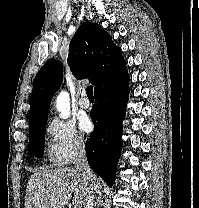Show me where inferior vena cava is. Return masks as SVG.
Segmentation results:
<instances>
[{
  "label": "inferior vena cava",
  "mask_w": 199,
  "mask_h": 208,
  "mask_svg": "<svg viewBox=\"0 0 199 208\" xmlns=\"http://www.w3.org/2000/svg\"><path fill=\"white\" fill-rule=\"evenodd\" d=\"M74 165L75 169L81 172L82 175L89 180L91 185V196L84 208H98L101 201L100 192L95 184V175L88 165L85 148L82 144L77 146Z\"/></svg>",
  "instance_id": "inferior-vena-cava-1"
}]
</instances>
